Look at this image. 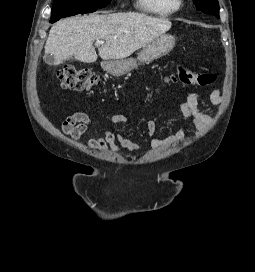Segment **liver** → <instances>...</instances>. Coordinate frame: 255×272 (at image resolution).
Wrapping results in <instances>:
<instances>
[{
	"mask_svg": "<svg viewBox=\"0 0 255 272\" xmlns=\"http://www.w3.org/2000/svg\"><path fill=\"white\" fill-rule=\"evenodd\" d=\"M171 25L166 18L137 12L69 17L50 29L45 55H53L57 65L73 56L93 63L98 57L93 42L103 40L105 43L98 48L101 59L121 60L168 31Z\"/></svg>",
	"mask_w": 255,
	"mask_h": 272,
	"instance_id": "obj_1",
	"label": "liver"
}]
</instances>
